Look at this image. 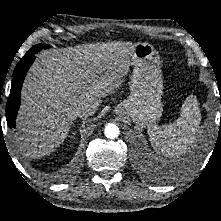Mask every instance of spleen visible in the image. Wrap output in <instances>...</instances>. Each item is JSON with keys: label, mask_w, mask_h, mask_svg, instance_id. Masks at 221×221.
<instances>
[{"label": "spleen", "mask_w": 221, "mask_h": 221, "mask_svg": "<svg viewBox=\"0 0 221 221\" xmlns=\"http://www.w3.org/2000/svg\"><path fill=\"white\" fill-rule=\"evenodd\" d=\"M201 115L195 97L188 96L180 117L173 123L148 126V136L154 150L165 157L179 158L199 138Z\"/></svg>", "instance_id": "1"}]
</instances>
